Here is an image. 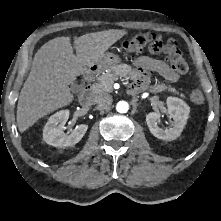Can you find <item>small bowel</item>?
<instances>
[{
  "instance_id": "obj_1",
  "label": "small bowel",
  "mask_w": 221,
  "mask_h": 221,
  "mask_svg": "<svg viewBox=\"0 0 221 221\" xmlns=\"http://www.w3.org/2000/svg\"><path fill=\"white\" fill-rule=\"evenodd\" d=\"M134 64L140 72V80L135 89L151 87L160 91L165 87L164 83L151 84L150 71L159 74L166 82H176L180 77L166 62L152 57L141 56L135 60Z\"/></svg>"
}]
</instances>
